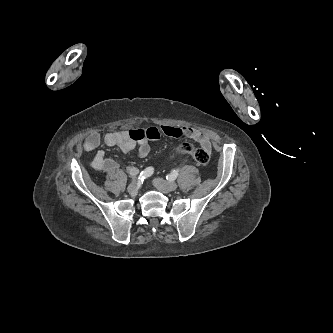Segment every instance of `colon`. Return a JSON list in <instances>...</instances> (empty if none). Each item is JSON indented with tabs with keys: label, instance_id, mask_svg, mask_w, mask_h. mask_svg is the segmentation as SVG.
Listing matches in <instances>:
<instances>
[{
	"label": "colon",
	"instance_id": "obj_1",
	"mask_svg": "<svg viewBox=\"0 0 333 333\" xmlns=\"http://www.w3.org/2000/svg\"><path fill=\"white\" fill-rule=\"evenodd\" d=\"M178 153H191L198 165H205L210 159V154L203 148H194L190 143L184 142L177 147Z\"/></svg>",
	"mask_w": 333,
	"mask_h": 333
}]
</instances>
